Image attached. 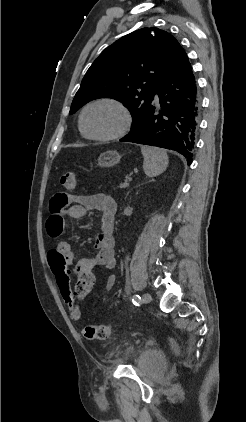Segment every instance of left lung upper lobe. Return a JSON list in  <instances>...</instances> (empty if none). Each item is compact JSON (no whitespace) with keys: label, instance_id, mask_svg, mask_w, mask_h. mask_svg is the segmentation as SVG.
Wrapping results in <instances>:
<instances>
[{"label":"left lung upper lobe","instance_id":"1","mask_svg":"<svg viewBox=\"0 0 246 422\" xmlns=\"http://www.w3.org/2000/svg\"><path fill=\"white\" fill-rule=\"evenodd\" d=\"M182 50L171 34L158 28H142L123 36L90 66L73 99L70 114L91 100L113 98L130 108L134 128Z\"/></svg>","mask_w":246,"mask_h":422}]
</instances>
